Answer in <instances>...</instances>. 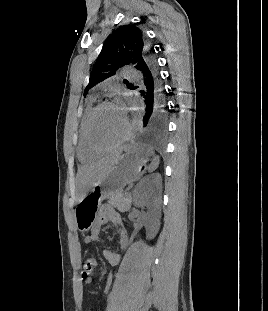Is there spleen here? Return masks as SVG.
<instances>
[{"mask_svg":"<svg viewBox=\"0 0 268 311\" xmlns=\"http://www.w3.org/2000/svg\"><path fill=\"white\" fill-rule=\"evenodd\" d=\"M148 152H149V155H152L153 156V161L149 167V172H152L154 171L157 167H158V164H159V157L158 156H155L153 151L151 149H147Z\"/></svg>","mask_w":268,"mask_h":311,"instance_id":"3e777b00","label":"spleen"}]
</instances>
